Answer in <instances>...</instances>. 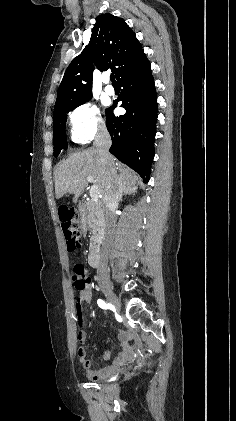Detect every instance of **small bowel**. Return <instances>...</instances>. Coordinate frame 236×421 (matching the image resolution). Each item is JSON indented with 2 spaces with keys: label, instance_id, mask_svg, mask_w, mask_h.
<instances>
[{
  "label": "small bowel",
  "instance_id": "c3829d8e",
  "mask_svg": "<svg viewBox=\"0 0 236 421\" xmlns=\"http://www.w3.org/2000/svg\"><path fill=\"white\" fill-rule=\"evenodd\" d=\"M91 299H92V291H91V288L88 286L85 290L80 292V295H79V301H78V304H77V309H78V316H79L80 320H81L80 309H81L82 305L89 303L91 301ZM85 336H86L85 331L81 330L79 332V339L83 340L85 338ZM79 357H80V361L82 362L83 366L86 369H88L89 368V361L86 358L85 351H84L83 355L82 356L79 355ZM106 357H107V355H106ZM88 372H87V375H88Z\"/></svg>",
  "mask_w": 236,
  "mask_h": 421
}]
</instances>
